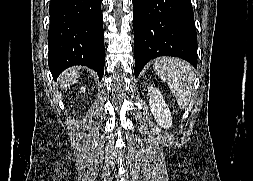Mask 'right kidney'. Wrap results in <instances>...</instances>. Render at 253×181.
Here are the masks:
<instances>
[{
  "label": "right kidney",
  "instance_id": "obj_1",
  "mask_svg": "<svg viewBox=\"0 0 253 181\" xmlns=\"http://www.w3.org/2000/svg\"><path fill=\"white\" fill-rule=\"evenodd\" d=\"M81 90H82V92H85L86 88H85V87H82Z\"/></svg>",
  "mask_w": 253,
  "mask_h": 181
}]
</instances>
